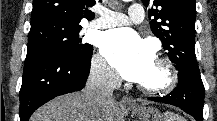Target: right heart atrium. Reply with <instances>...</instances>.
<instances>
[{
	"mask_svg": "<svg viewBox=\"0 0 217 121\" xmlns=\"http://www.w3.org/2000/svg\"><path fill=\"white\" fill-rule=\"evenodd\" d=\"M91 73L98 81L107 85H115L118 82L117 74L100 54L92 58Z\"/></svg>",
	"mask_w": 217,
	"mask_h": 121,
	"instance_id": "right-heart-atrium-1",
	"label": "right heart atrium"
}]
</instances>
